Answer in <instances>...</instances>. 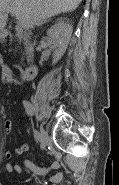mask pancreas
Returning a JSON list of instances; mask_svg holds the SVG:
<instances>
[{
  "mask_svg": "<svg viewBox=\"0 0 119 185\" xmlns=\"http://www.w3.org/2000/svg\"><path fill=\"white\" fill-rule=\"evenodd\" d=\"M15 38H17V41L19 43L23 42L24 46H25V50H26V57L27 60L29 61V57L32 51V47L27 39V37H25L21 32L15 35ZM12 41V40H10Z\"/></svg>",
  "mask_w": 119,
  "mask_h": 185,
  "instance_id": "1",
  "label": "pancreas"
}]
</instances>
